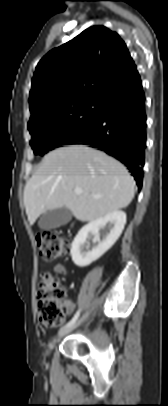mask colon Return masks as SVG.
<instances>
[{
	"label": "colon",
	"instance_id": "5ec220e1",
	"mask_svg": "<svg viewBox=\"0 0 168 406\" xmlns=\"http://www.w3.org/2000/svg\"><path fill=\"white\" fill-rule=\"evenodd\" d=\"M40 258L52 261L64 256L69 250L68 241L53 231H42L36 235ZM65 296L58 278L49 273L41 275L37 290V311L40 321L47 326H57L64 317L61 301Z\"/></svg>",
	"mask_w": 168,
	"mask_h": 406
}]
</instances>
